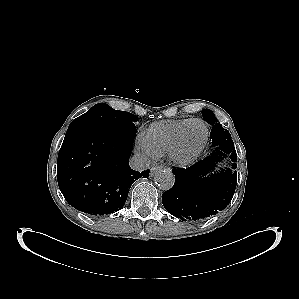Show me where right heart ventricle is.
Masks as SVG:
<instances>
[{
  "label": "right heart ventricle",
  "instance_id": "1",
  "mask_svg": "<svg viewBox=\"0 0 299 299\" xmlns=\"http://www.w3.org/2000/svg\"><path fill=\"white\" fill-rule=\"evenodd\" d=\"M189 120H170L153 123L142 134V137L156 155H161L167 152L179 130Z\"/></svg>",
  "mask_w": 299,
  "mask_h": 299
}]
</instances>
